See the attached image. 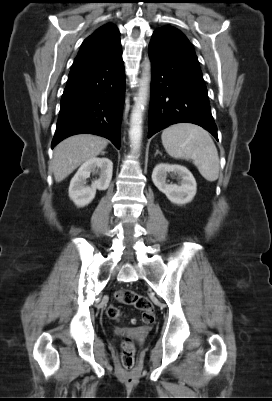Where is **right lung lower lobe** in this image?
<instances>
[{"mask_svg": "<svg viewBox=\"0 0 272 401\" xmlns=\"http://www.w3.org/2000/svg\"><path fill=\"white\" fill-rule=\"evenodd\" d=\"M125 95L122 50L68 77L52 148L75 134L108 138L120 148V125Z\"/></svg>", "mask_w": 272, "mask_h": 401, "instance_id": "obj_1", "label": "right lung lower lobe"}]
</instances>
